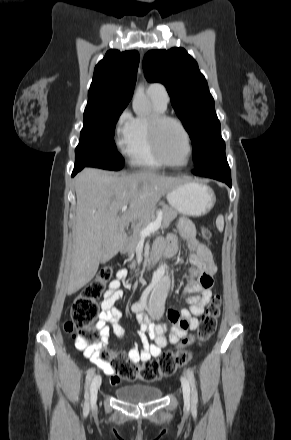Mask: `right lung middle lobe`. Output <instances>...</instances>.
<instances>
[{"instance_id": "right-lung-middle-lobe-1", "label": "right lung middle lobe", "mask_w": 291, "mask_h": 440, "mask_svg": "<svg viewBox=\"0 0 291 440\" xmlns=\"http://www.w3.org/2000/svg\"><path fill=\"white\" fill-rule=\"evenodd\" d=\"M127 105L117 103L89 104L84 111L80 141L75 149V168H123V157L114 142L115 125Z\"/></svg>"}]
</instances>
